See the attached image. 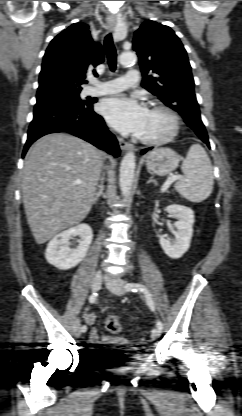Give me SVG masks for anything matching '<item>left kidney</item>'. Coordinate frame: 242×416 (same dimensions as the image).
Segmentation results:
<instances>
[{"instance_id":"obj_1","label":"left kidney","mask_w":242,"mask_h":416,"mask_svg":"<svg viewBox=\"0 0 242 416\" xmlns=\"http://www.w3.org/2000/svg\"><path fill=\"white\" fill-rule=\"evenodd\" d=\"M166 211L177 218L175 227L177 231L174 232L175 239L160 237V245L165 254L170 258H181L189 249L191 238L193 235L194 212L191 208L184 205H169Z\"/></svg>"}]
</instances>
